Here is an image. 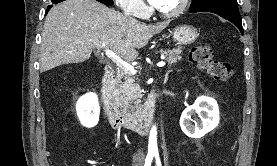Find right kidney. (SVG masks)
I'll return each mask as SVG.
<instances>
[{"mask_svg":"<svg viewBox=\"0 0 277 166\" xmlns=\"http://www.w3.org/2000/svg\"><path fill=\"white\" fill-rule=\"evenodd\" d=\"M76 111L81 124L87 128L94 127L99 121L100 107L95 93H87L76 104Z\"/></svg>","mask_w":277,"mask_h":166,"instance_id":"1","label":"right kidney"}]
</instances>
